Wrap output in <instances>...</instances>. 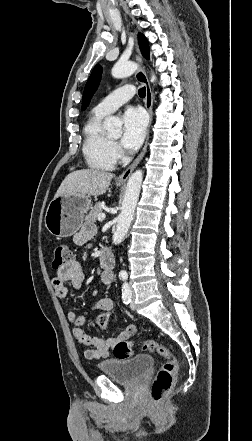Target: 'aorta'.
I'll return each mask as SVG.
<instances>
[{
  "label": "aorta",
  "instance_id": "762f6f07",
  "mask_svg": "<svg viewBox=\"0 0 252 441\" xmlns=\"http://www.w3.org/2000/svg\"><path fill=\"white\" fill-rule=\"evenodd\" d=\"M137 68L138 65L133 61H118L113 66L111 73L115 78H124L132 75ZM155 80V75H152L151 81L154 82ZM121 125L122 123L117 117H110L104 122L106 130L112 133H117L120 130ZM142 180V170H136L128 179L125 196L122 202V210L117 217V227L113 235L114 244L121 243L128 232L139 199Z\"/></svg>",
  "mask_w": 252,
  "mask_h": 441
}]
</instances>
